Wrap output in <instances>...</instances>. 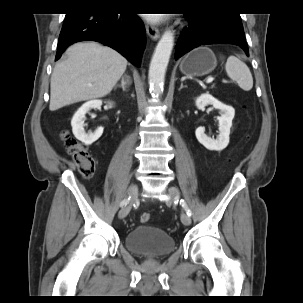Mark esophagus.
I'll use <instances>...</instances> for the list:
<instances>
[{
  "mask_svg": "<svg viewBox=\"0 0 303 303\" xmlns=\"http://www.w3.org/2000/svg\"><path fill=\"white\" fill-rule=\"evenodd\" d=\"M146 32L147 34L154 40H157L160 36V31L157 26H155L152 23L147 22L146 23Z\"/></svg>",
  "mask_w": 303,
  "mask_h": 303,
  "instance_id": "obj_1",
  "label": "esophagus"
}]
</instances>
